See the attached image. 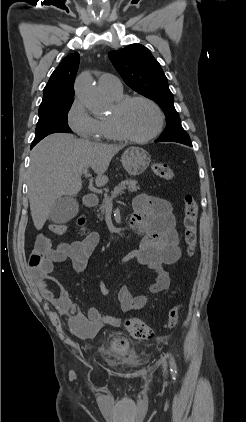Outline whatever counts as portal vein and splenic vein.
Returning a JSON list of instances; mask_svg holds the SVG:
<instances>
[{"label": "portal vein and splenic vein", "instance_id": "portal-vein-and-splenic-vein-1", "mask_svg": "<svg viewBox=\"0 0 246 422\" xmlns=\"http://www.w3.org/2000/svg\"><path fill=\"white\" fill-rule=\"evenodd\" d=\"M83 174L86 176L88 174V171L87 170H84L83 171ZM109 206H112V202H109Z\"/></svg>", "mask_w": 246, "mask_h": 422}]
</instances>
